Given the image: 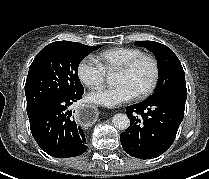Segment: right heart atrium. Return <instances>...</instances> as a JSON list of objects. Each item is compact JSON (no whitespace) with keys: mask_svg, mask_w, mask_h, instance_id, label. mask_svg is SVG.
Here are the masks:
<instances>
[{"mask_svg":"<svg viewBox=\"0 0 209 179\" xmlns=\"http://www.w3.org/2000/svg\"><path fill=\"white\" fill-rule=\"evenodd\" d=\"M79 80L89 89H97L105 81L106 72L92 57H85L77 66Z\"/></svg>","mask_w":209,"mask_h":179,"instance_id":"right-heart-atrium-1","label":"right heart atrium"}]
</instances>
